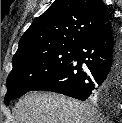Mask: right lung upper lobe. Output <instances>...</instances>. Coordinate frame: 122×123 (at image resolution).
Listing matches in <instances>:
<instances>
[{"mask_svg":"<svg viewBox=\"0 0 122 123\" xmlns=\"http://www.w3.org/2000/svg\"><path fill=\"white\" fill-rule=\"evenodd\" d=\"M109 21L111 16L101 0H55L20 38L12 63L47 52L77 49Z\"/></svg>","mask_w":122,"mask_h":123,"instance_id":"1","label":"right lung upper lobe"}]
</instances>
